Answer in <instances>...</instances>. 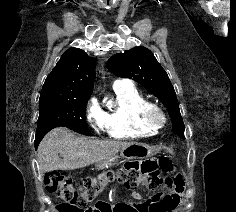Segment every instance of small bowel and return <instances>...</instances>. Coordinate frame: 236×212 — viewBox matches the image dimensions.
Here are the masks:
<instances>
[{"instance_id":"c3829d8e","label":"small bowel","mask_w":236,"mask_h":212,"mask_svg":"<svg viewBox=\"0 0 236 212\" xmlns=\"http://www.w3.org/2000/svg\"><path fill=\"white\" fill-rule=\"evenodd\" d=\"M171 170L164 171L170 173ZM175 191L169 194L156 193L140 202H130L122 205L110 204V199H95V204L89 205V209H83V212H175L180 203L182 194V183L179 177L174 178ZM138 185H121V194H134L138 190ZM135 199H138L134 195ZM118 203H125V198H118Z\"/></svg>"}]
</instances>
